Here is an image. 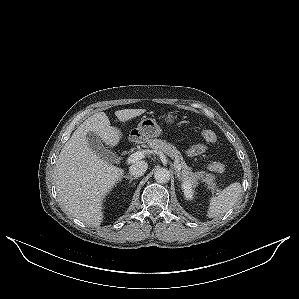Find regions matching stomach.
Wrapping results in <instances>:
<instances>
[{"label": "stomach", "mask_w": 299, "mask_h": 299, "mask_svg": "<svg viewBox=\"0 0 299 299\" xmlns=\"http://www.w3.org/2000/svg\"><path fill=\"white\" fill-rule=\"evenodd\" d=\"M164 120L168 123H173L177 119V115L169 113L165 115ZM162 133L161 127L154 118H143L137 128H133L129 132V140L136 143L147 142L150 138L160 136Z\"/></svg>", "instance_id": "stomach-1"}]
</instances>
